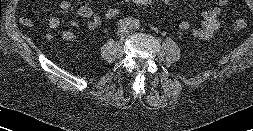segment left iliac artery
Returning a JSON list of instances; mask_svg holds the SVG:
<instances>
[{"mask_svg": "<svg viewBox=\"0 0 253 131\" xmlns=\"http://www.w3.org/2000/svg\"><path fill=\"white\" fill-rule=\"evenodd\" d=\"M138 27H139V24L137 21H133V23L130 26V28H132V29H137Z\"/></svg>", "mask_w": 253, "mask_h": 131, "instance_id": "obj_1", "label": "left iliac artery"}]
</instances>
